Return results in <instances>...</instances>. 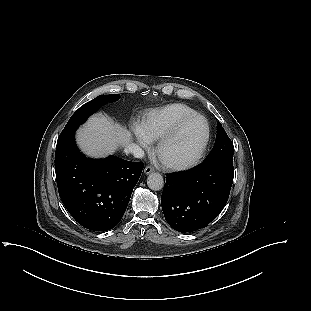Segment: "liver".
I'll use <instances>...</instances> for the list:
<instances>
[{"mask_svg":"<svg viewBox=\"0 0 311 311\" xmlns=\"http://www.w3.org/2000/svg\"><path fill=\"white\" fill-rule=\"evenodd\" d=\"M82 151L91 157H105L132 140L131 133L102 114L92 116L77 132Z\"/></svg>","mask_w":311,"mask_h":311,"instance_id":"obj_1","label":"liver"}]
</instances>
